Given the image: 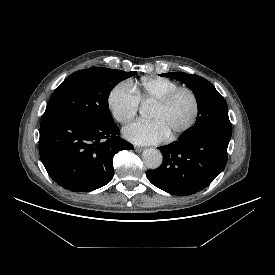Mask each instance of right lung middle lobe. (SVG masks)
<instances>
[{
    "label": "right lung middle lobe",
    "mask_w": 275,
    "mask_h": 275,
    "mask_svg": "<svg viewBox=\"0 0 275 275\" xmlns=\"http://www.w3.org/2000/svg\"><path fill=\"white\" fill-rule=\"evenodd\" d=\"M135 73L104 67L75 72L54 91L44 116L68 114L114 123L108 106L109 94L119 82Z\"/></svg>",
    "instance_id": "dd1d6c3e"
}]
</instances>
